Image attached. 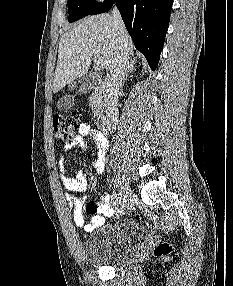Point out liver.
<instances>
[{"label":"liver","instance_id":"6515ba94","mask_svg":"<svg viewBox=\"0 0 233 286\" xmlns=\"http://www.w3.org/2000/svg\"><path fill=\"white\" fill-rule=\"evenodd\" d=\"M118 37L119 31L114 29L113 16L108 13L86 17L71 27L59 42L53 93L85 75L93 57L104 60L109 74L119 46ZM122 37L128 55H133L134 45L125 27Z\"/></svg>","mask_w":233,"mask_h":286}]
</instances>
